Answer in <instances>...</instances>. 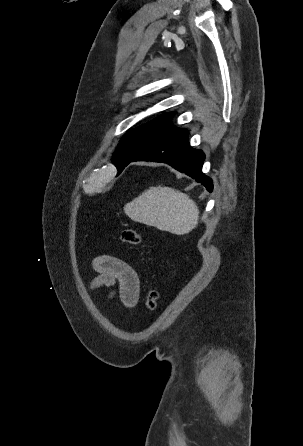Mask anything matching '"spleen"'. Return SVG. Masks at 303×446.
<instances>
[{
	"label": "spleen",
	"instance_id": "3e777b00",
	"mask_svg": "<svg viewBox=\"0 0 303 446\" xmlns=\"http://www.w3.org/2000/svg\"><path fill=\"white\" fill-rule=\"evenodd\" d=\"M124 212L135 222L176 235L192 231L199 219L198 207L187 194L160 185L150 187L127 203Z\"/></svg>",
	"mask_w": 303,
	"mask_h": 446
}]
</instances>
